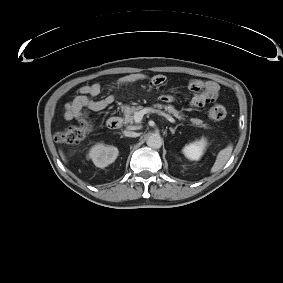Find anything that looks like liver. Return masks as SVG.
I'll return each mask as SVG.
<instances>
[{"instance_id":"1","label":"liver","mask_w":283,"mask_h":283,"mask_svg":"<svg viewBox=\"0 0 283 283\" xmlns=\"http://www.w3.org/2000/svg\"><path fill=\"white\" fill-rule=\"evenodd\" d=\"M59 153H60V156H61L62 160H63V161H66L65 156H64V154H63V152L60 150V151H59Z\"/></svg>"}]
</instances>
